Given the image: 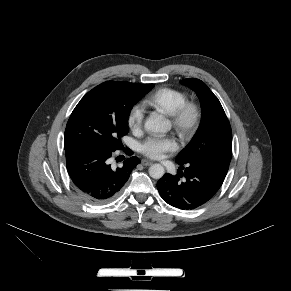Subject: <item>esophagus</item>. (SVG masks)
I'll use <instances>...</instances> for the list:
<instances>
[{
  "mask_svg": "<svg viewBox=\"0 0 291 291\" xmlns=\"http://www.w3.org/2000/svg\"><path fill=\"white\" fill-rule=\"evenodd\" d=\"M141 164L144 166H150L152 164V162L149 160H146V159H142Z\"/></svg>",
  "mask_w": 291,
  "mask_h": 291,
  "instance_id": "obj_1",
  "label": "esophagus"
}]
</instances>
